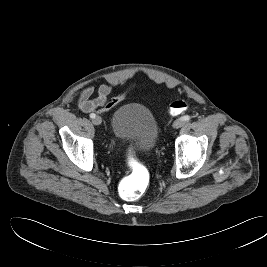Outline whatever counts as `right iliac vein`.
<instances>
[{"instance_id":"right-iliac-vein-1","label":"right iliac vein","mask_w":267,"mask_h":267,"mask_svg":"<svg viewBox=\"0 0 267 267\" xmlns=\"http://www.w3.org/2000/svg\"><path fill=\"white\" fill-rule=\"evenodd\" d=\"M92 122H93L94 125L98 126V125H100L102 123V119H101L100 116H96L95 118H93Z\"/></svg>"}]
</instances>
